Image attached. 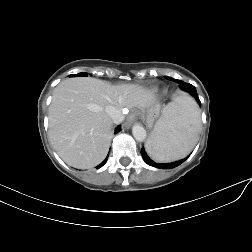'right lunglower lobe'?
<instances>
[{"mask_svg":"<svg viewBox=\"0 0 252 252\" xmlns=\"http://www.w3.org/2000/svg\"><path fill=\"white\" fill-rule=\"evenodd\" d=\"M120 129H121V126H118V127L115 129V133L119 132ZM107 158H108V156H107ZM107 158H106L100 165H98L96 168L98 169V168L102 167V166L106 163Z\"/></svg>","mask_w":252,"mask_h":252,"instance_id":"98d812e1","label":"right lung lower lobe"}]
</instances>
